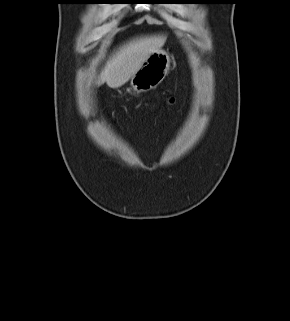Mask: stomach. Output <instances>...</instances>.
<instances>
[{"label": "stomach", "instance_id": "obj_1", "mask_svg": "<svg viewBox=\"0 0 290 321\" xmlns=\"http://www.w3.org/2000/svg\"><path fill=\"white\" fill-rule=\"evenodd\" d=\"M170 62V56L166 51L159 49L152 53L131 77L133 90L141 93L157 87L166 77Z\"/></svg>", "mask_w": 290, "mask_h": 321}]
</instances>
